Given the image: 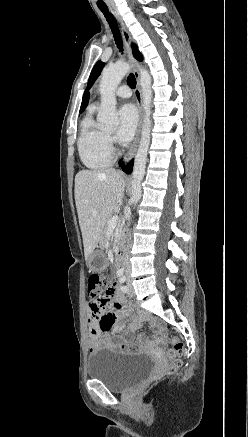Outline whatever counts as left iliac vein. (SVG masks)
<instances>
[{
    "label": "left iliac vein",
    "mask_w": 248,
    "mask_h": 437,
    "mask_svg": "<svg viewBox=\"0 0 248 437\" xmlns=\"http://www.w3.org/2000/svg\"><path fill=\"white\" fill-rule=\"evenodd\" d=\"M127 286H128V294L130 296H134L135 295V291H134L133 285H132L130 280L127 281Z\"/></svg>",
    "instance_id": "4c4485c4"
}]
</instances>
